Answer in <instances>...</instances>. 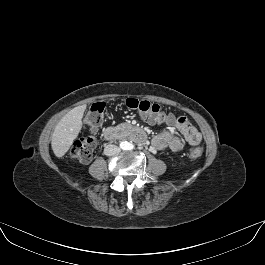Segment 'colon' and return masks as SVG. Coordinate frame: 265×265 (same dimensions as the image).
Here are the masks:
<instances>
[{"instance_id":"5ec220e1","label":"colon","mask_w":265,"mask_h":265,"mask_svg":"<svg viewBox=\"0 0 265 265\" xmlns=\"http://www.w3.org/2000/svg\"><path fill=\"white\" fill-rule=\"evenodd\" d=\"M123 104L127 108L136 110L142 115L155 116L157 118H165L171 115L158 104L147 100L127 98L123 101ZM104 111L105 104L103 102H97L91 105L85 116V122L91 130H95L102 123ZM96 145L97 141L93 135L86 136L74 142L69 151V155L72 159L81 163H88L93 156ZM202 152L200 147H194L190 150L189 156L192 159H198L201 157Z\"/></svg>"}]
</instances>
